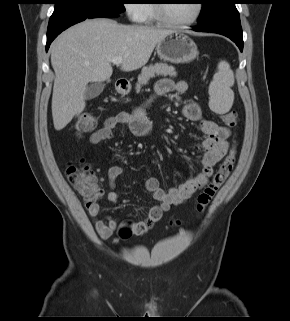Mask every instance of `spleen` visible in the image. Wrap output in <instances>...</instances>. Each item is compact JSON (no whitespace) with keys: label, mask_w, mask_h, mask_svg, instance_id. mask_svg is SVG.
Returning a JSON list of instances; mask_svg holds the SVG:
<instances>
[{"label":"spleen","mask_w":290,"mask_h":321,"mask_svg":"<svg viewBox=\"0 0 290 321\" xmlns=\"http://www.w3.org/2000/svg\"><path fill=\"white\" fill-rule=\"evenodd\" d=\"M234 81V73L229 63L221 61L209 85V107L213 112L224 114L231 109L234 101L231 87Z\"/></svg>","instance_id":"1"}]
</instances>
